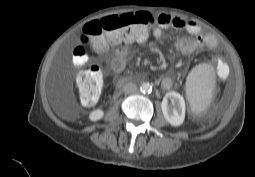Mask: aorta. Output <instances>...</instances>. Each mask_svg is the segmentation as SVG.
<instances>
[{
    "instance_id": "762f6f07",
    "label": "aorta",
    "mask_w": 255,
    "mask_h": 177,
    "mask_svg": "<svg viewBox=\"0 0 255 177\" xmlns=\"http://www.w3.org/2000/svg\"><path fill=\"white\" fill-rule=\"evenodd\" d=\"M140 90L143 93H151L152 86L149 83H142L141 86H140Z\"/></svg>"
}]
</instances>
